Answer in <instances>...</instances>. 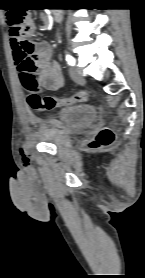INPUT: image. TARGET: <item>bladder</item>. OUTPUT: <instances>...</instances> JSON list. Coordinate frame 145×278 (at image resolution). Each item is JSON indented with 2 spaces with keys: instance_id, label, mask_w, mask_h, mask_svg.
<instances>
[{
  "instance_id": "bladder-1",
  "label": "bladder",
  "mask_w": 145,
  "mask_h": 278,
  "mask_svg": "<svg viewBox=\"0 0 145 278\" xmlns=\"http://www.w3.org/2000/svg\"><path fill=\"white\" fill-rule=\"evenodd\" d=\"M97 112L89 105L63 107L57 117L42 131L40 138L47 144L59 147L69 139L89 128L96 120Z\"/></svg>"
}]
</instances>
